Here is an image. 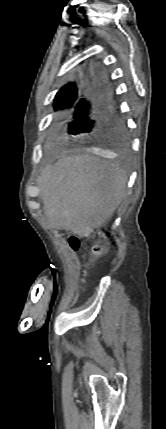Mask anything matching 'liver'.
Returning <instances> with one entry per match:
<instances>
[{"label":"liver","instance_id":"1","mask_svg":"<svg viewBox=\"0 0 166 429\" xmlns=\"http://www.w3.org/2000/svg\"><path fill=\"white\" fill-rule=\"evenodd\" d=\"M48 223L88 237L113 215L126 194V172L95 156H64L39 178Z\"/></svg>","mask_w":166,"mask_h":429}]
</instances>
